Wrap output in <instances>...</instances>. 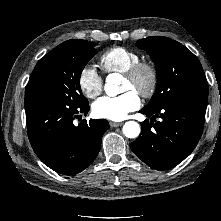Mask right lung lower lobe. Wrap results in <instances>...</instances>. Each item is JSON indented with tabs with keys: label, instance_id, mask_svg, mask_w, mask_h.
Here are the masks:
<instances>
[{
	"label": "right lung lower lobe",
	"instance_id": "obj_1",
	"mask_svg": "<svg viewBox=\"0 0 221 221\" xmlns=\"http://www.w3.org/2000/svg\"><path fill=\"white\" fill-rule=\"evenodd\" d=\"M25 110L34 152L49 168L64 175H75L94 161L102 135L109 128L105 119L73 124L79 113H88L89 104L75 108L54 99L28 95Z\"/></svg>",
	"mask_w": 221,
	"mask_h": 221
}]
</instances>
